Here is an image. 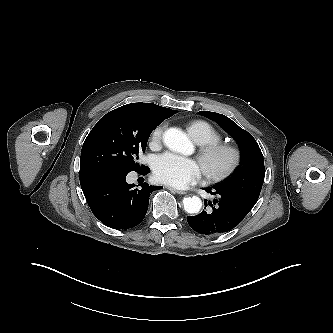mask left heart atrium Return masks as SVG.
I'll list each match as a JSON object with an SVG mask.
<instances>
[{
  "mask_svg": "<svg viewBox=\"0 0 333 333\" xmlns=\"http://www.w3.org/2000/svg\"><path fill=\"white\" fill-rule=\"evenodd\" d=\"M153 172L158 181L177 188H184L201 176V168L195 160L172 153L156 157Z\"/></svg>",
  "mask_w": 333,
  "mask_h": 333,
  "instance_id": "1",
  "label": "left heart atrium"
}]
</instances>
